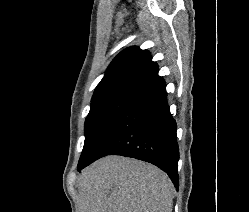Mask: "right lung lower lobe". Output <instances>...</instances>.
<instances>
[{
	"instance_id": "98d812e1",
	"label": "right lung lower lobe",
	"mask_w": 249,
	"mask_h": 212,
	"mask_svg": "<svg viewBox=\"0 0 249 212\" xmlns=\"http://www.w3.org/2000/svg\"><path fill=\"white\" fill-rule=\"evenodd\" d=\"M106 155L152 163L165 171L178 189L176 122L167 104L165 84L133 100L108 126L78 171Z\"/></svg>"
}]
</instances>
